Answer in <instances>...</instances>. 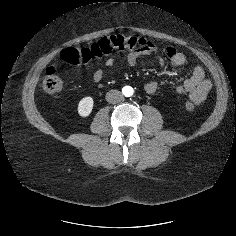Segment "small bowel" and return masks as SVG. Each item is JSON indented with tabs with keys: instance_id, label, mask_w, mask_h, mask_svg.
Returning <instances> with one entry per match:
<instances>
[{
	"instance_id": "1",
	"label": "small bowel",
	"mask_w": 236,
	"mask_h": 236,
	"mask_svg": "<svg viewBox=\"0 0 236 236\" xmlns=\"http://www.w3.org/2000/svg\"><path fill=\"white\" fill-rule=\"evenodd\" d=\"M157 52V47L152 42H147L142 49L128 52L125 60L127 65L134 66L140 57L156 56ZM164 54L169 58L172 69L180 68L186 63V56L173 46H166L164 48ZM115 62V58L109 57L105 60L104 64L106 68H111L115 65ZM157 62L160 66L164 65V61L161 58H157ZM104 76L105 72L102 69H95L91 72V78L94 82H100ZM157 88L158 84L155 81H149L144 86L148 94H154ZM211 89L212 83L206 78L205 70L200 65L194 66L191 76L175 88L176 92L179 94H188L190 102L196 105L206 100Z\"/></svg>"
}]
</instances>
